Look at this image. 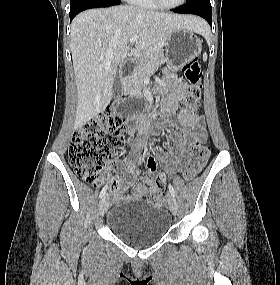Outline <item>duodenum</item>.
<instances>
[{
  "label": "duodenum",
  "instance_id": "duodenum-1",
  "mask_svg": "<svg viewBox=\"0 0 280 285\" xmlns=\"http://www.w3.org/2000/svg\"><path fill=\"white\" fill-rule=\"evenodd\" d=\"M116 106H117V107H120V104H119V103H117V104H116Z\"/></svg>",
  "mask_w": 280,
  "mask_h": 285
}]
</instances>
